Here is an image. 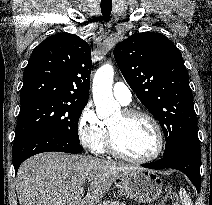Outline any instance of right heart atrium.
I'll use <instances>...</instances> for the list:
<instances>
[{
	"instance_id": "right-heart-atrium-1",
	"label": "right heart atrium",
	"mask_w": 212,
	"mask_h": 205,
	"mask_svg": "<svg viewBox=\"0 0 212 205\" xmlns=\"http://www.w3.org/2000/svg\"><path fill=\"white\" fill-rule=\"evenodd\" d=\"M77 136L83 147L98 151L106 138V127L91 104L81 111L77 121Z\"/></svg>"
}]
</instances>
